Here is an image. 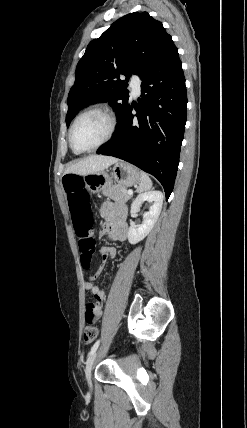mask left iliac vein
<instances>
[{
  "mask_svg": "<svg viewBox=\"0 0 247 428\" xmlns=\"http://www.w3.org/2000/svg\"><path fill=\"white\" fill-rule=\"evenodd\" d=\"M97 357V353H94L88 360L86 368H85V375H86V380L88 385L91 387L92 383H91V373H92V369H93V365L94 362L96 360Z\"/></svg>",
  "mask_w": 247,
  "mask_h": 428,
  "instance_id": "left-iliac-vein-1",
  "label": "left iliac vein"
}]
</instances>
